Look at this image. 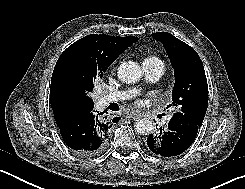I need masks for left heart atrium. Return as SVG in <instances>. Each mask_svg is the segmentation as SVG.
<instances>
[{
	"label": "left heart atrium",
	"instance_id": "1",
	"mask_svg": "<svg viewBox=\"0 0 245 189\" xmlns=\"http://www.w3.org/2000/svg\"><path fill=\"white\" fill-rule=\"evenodd\" d=\"M137 104H140V101H137Z\"/></svg>",
	"mask_w": 245,
	"mask_h": 189
}]
</instances>
